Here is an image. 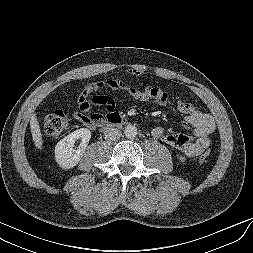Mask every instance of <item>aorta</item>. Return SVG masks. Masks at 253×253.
Returning a JSON list of instances; mask_svg holds the SVG:
<instances>
[{"label":"aorta","mask_w":253,"mask_h":253,"mask_svg":"<svg viewBox=\"0 0 253 253\" xmlns=\"http://www.w3.org/2000/svg\"><path fill=\"white\" fill-rule=\"evenodd\" d=\"M126 138L133 139L137 135V128L134 125H127L124 129Z\"/></svg>","instance_id":"762f6f07"}]
</instances>
